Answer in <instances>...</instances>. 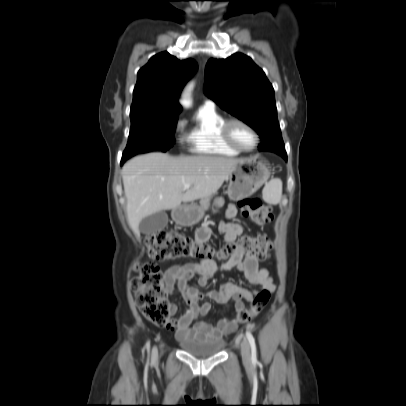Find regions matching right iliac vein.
<instances>
[{
	"instance_id": "63e3f726",
	"label": "right iliac vein",
	"mask_w": 406,
	"mask_h": 406,
	"mask_svg": "<svg viewBox=\"0 0 406 406\" xmlns=\"http://www.w3.org/2000/svg\"><path fill=\"white\" fill-rule=\"evenodd\" d=\"M157 358H158V349L157 347H154L152 351V361H156Z\"/></svg>"
}]
</instances>
